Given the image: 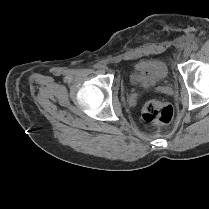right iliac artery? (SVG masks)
<instances>
[{
  "label": "right iliac artery",
  "mask_w": 209,
  "mask_h": 209,
  "mask_svg": "<svg viewBox=\"0 0 209 209\" xmlns=\"http://www.w3.org/2000/svg\"><path fill=\"white\" fill-rule=\"evenodd\" d=\"M99 67H101L99 64L94 65V68H99Z\"/></svg>",
  "instance_id": "right-iliac-artery-1"
}]
</instances>
